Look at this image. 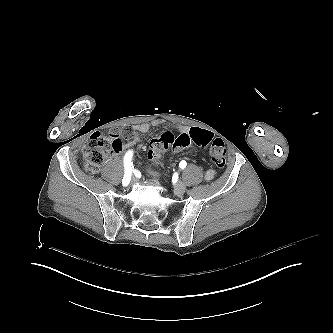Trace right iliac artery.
Instances as JSON below:
<instances>
[{"label": "right iliac artery", "mask_w": 333, "mask_h": 333, "mask_svg": "<svg viewBox=\"0 0 333 333\" xmlns=\"http://www.w3.org/2000/svg\"><path fill=\"white\" fill-rule=\"evenodd\" d=\"M132 151H128L124 157V169H125V174L123 177V186H127L131 180V173L133 170V164L131 162L132 158Z\"/></svg>", "instance_id": "1"}]
</instances>
